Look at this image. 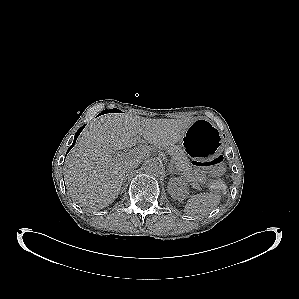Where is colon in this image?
Segmentation results:
<instances>
[{"instance_id":"obj_1","label":"colon","mask_w":299,"mask_h":299,"mask_svg":"<svg viewBox=\"0 0 299 299\" xmlns=\"http://www.w3.org/2000/svg\"><path fill=\"white\" fill-rule=\"evenodd\" d=\"M197 175L203 180H211L220 176L224 171V158L218 155L208 161H193Z\"/></svg>"}]
</instances>
